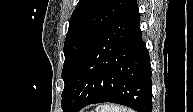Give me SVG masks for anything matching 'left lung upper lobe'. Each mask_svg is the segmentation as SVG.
Here are the masks:
<instances>
[{"instance_id": "left-lung-upper-lobe-1", "label": "left lung upper lobe", "mask_w": 193, "mask_h": 112, "mask_svg": "<svg viewBox=\"0 0 193 112\" xmlns=\"http://www.w3.org/2000/svg\"><path fill=\"white\" fill-rule=\"evenodd\" d=\"M132 0H80L69 21L64 44L65 63L62 79L68 85L81 59L98 38ZM61 101V102H62Z\"/></svg>"}]
</instances>
